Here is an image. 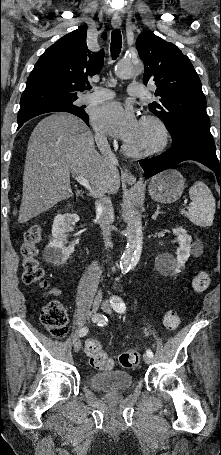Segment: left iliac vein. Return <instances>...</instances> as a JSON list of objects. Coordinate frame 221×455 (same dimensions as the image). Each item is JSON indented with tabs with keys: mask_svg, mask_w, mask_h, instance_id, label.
<instances>
[{
	"mask_svg": "<svg viewBox=\"0 0 221 455\" xmlns=\"http://www.w3.org/2000/svg\"><path fill=\"white\" fill-rule=\"evenodd\" d=\"M103 311L110 314L112 312L111 306L107 301H104L101 305ZM143 360L145 363L150 364L152 362V357L148 356L147 354L143 356Z\"/></svg>",
	"mask_w": 221,
	"mask_h": 455,
	"instance_id": "1",
	"label": "left iliac vein"
}]
</instances>
